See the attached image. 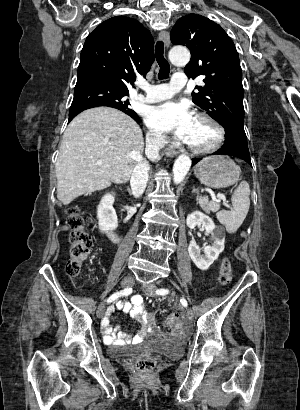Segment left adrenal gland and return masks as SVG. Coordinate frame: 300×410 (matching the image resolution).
<instances>
[{"instance_id": "1", "label": "left adrenal gland", "mask_w": 300, "mask_h": 410, "mask_svg": "<svg viewBox=\"0 0 300 410\" xmlns=\"http://www.w3.org/2000/svg\"><path fill=\"white\" fill-rule=\"evenodd\" d=\"M192 193H196V201L198 202L199 201V189L198 188H194L193 190H192Z\"/></svg>"}]
</instances>
